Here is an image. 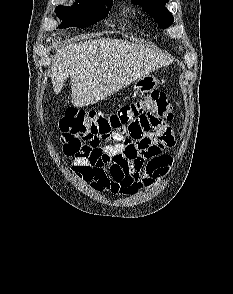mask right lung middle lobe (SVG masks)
Masks as SVG:
<instances>
[{
  "label": "right lung middle lobe",
  "mask_w": 233,
  "mask_h": 294,
  "mask_svg": "<svg viewBox=\"0 0 233 294\" xmlns=\"http://www.w3.org/2000/svg\"><path fill=\"white\" fill-rule=\"evenodd\" d=\"M72 7L58 6L55 10L62 20L59 28H85L105 18L111 9L112 0H76ZM79 3V4H78ZM105 5L108 9H105Z\"/></svg>",
  "instance_id": "right-lung-middle-lobe-1"
}]
</instances>
